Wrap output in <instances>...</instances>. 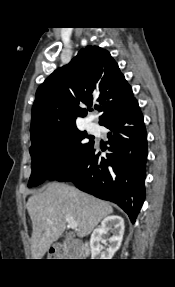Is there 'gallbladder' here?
<instances>
[{"label": "gallbladder", "mask_w": 175, "mask_h": 287, "mask_svg": "<svg viewBox=\"0 0 175 287\" xmlns=\"http://www.w3.org/2000/svg\"><path fill=\"white\" fill-rule=\"evenodd\" d=\"M66 237H73V234H67Z\"/></svg>", "instance_id": "bac80fb5"}]
</instances>
